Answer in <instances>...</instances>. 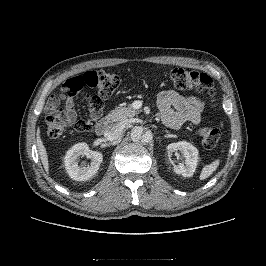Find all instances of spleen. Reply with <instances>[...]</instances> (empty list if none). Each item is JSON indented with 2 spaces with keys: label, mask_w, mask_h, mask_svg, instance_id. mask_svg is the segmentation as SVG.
<instances>
[{
  "label": "spleen",
  "mask_w": 266,
  "mask_h": 266,
  "mask_svg": "<svg viewBox=\"0 0 266 266\" xmlns=\"http://www.w3.org/2000/svg\"><path fill=\"white\" fill-rule=\"evenodd\" d=\"M222 152H223V150H222ZM219 164H220V158H218V159L212 161L211 163L205 165L201 170L199 180L203 181V180L207 179L208 177H210L217 170Z\"/></svg>",
  "instance_id": "spleen-1"
}]
</instances>
